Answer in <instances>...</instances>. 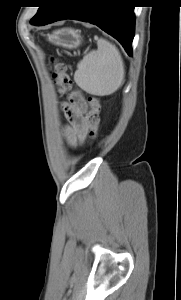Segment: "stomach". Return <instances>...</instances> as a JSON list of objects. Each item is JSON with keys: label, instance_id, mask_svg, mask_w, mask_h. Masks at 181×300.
<instances>
[{"label": "stomach", "instance_id": "obj_1", "mask_svg": "<svg viewBox=\"0 0 181 300\" xmlns=\"http://www.w3.org/2000/svg\"><path fill=\"white\" fill-rule=\"evenodd\" d=\"M49 42L66 49H76L82 43V38L78 30L63 28L47 35Z\"/></svg>", "mask_w": 181, "mask_h": 300}]
</instances>
